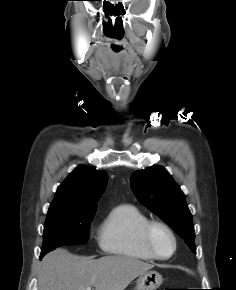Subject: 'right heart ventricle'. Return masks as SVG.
Here are the masks:
<instances>
[{"mask_svg":"<svg viewBox=\"0 0 236 290\" xmlns=\"http://www.w3.org/2000/svg\"><path fill=\"white\" fill-rule=\"evenodd\" d=\"M149 218L133 204L113 207L99 229V246L107 254L152 261L144 248L141 232Z\"/></svg>","mask_w":236,"mask_h":290,"instance_id":"1","label":"right heart ventricle"}]
</instances>
